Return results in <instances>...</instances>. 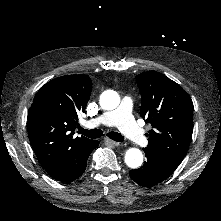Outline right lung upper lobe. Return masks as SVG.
I'll return each mask as SVG.
<instances>
[{
  "label": "right lung upper lobe",
  "instance_id": "1",
  "mask_svg": "<svg viewBox=\"0 0 221 221\" xmlns=\"http://www.w3.org/2000/svg\"><path fill=\"white\" fill-rule=\"evenodd\" d=\"M92 82L87 75H66L42 86L28 112V136L50 176L59 174L93 140L74 138L78 114L85 110Z\"/></svg>",
  "mask_w": 221,
  "mask_h": 221
}]
</instances>
